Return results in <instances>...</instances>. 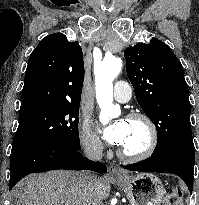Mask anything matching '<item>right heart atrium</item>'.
I'll return each mask as SVG.
<instances>
[{
  "label": "right heart atrium",
  "mask_w": 199,
  "mask_h": 205,
  "mask_svg": "<svg viewBox=\"0 0 199 205\" xmlns=\"http://www.w3.org/2000/svg\"><path fill=\"white\" fill-rule=\"evenodd\" d=\"M80 141L85 153L93 158H97L102 153L100 139L91 131L90 125L85 121L80 130Z\"/></svg>",
  "instance_id": "obj_1"
}]
</instances>
